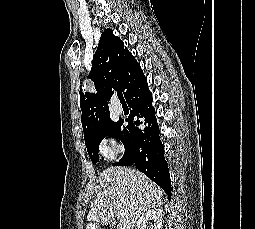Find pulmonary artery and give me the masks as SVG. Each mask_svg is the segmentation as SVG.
<instances>
[{"instance_id": "e3ab8cb5", "label": "pulmonary artery", "mask_w": 255, "mask_h": 229, "mask_svg": "<svg viewBox=\"0 0 255 229\" xmlns=\"http://www.w3.org/2000/svg\"><path fill=\"white\" fill-rule=\"evenodd\" d=\"M112 108H113L114 112L117 113V114H122L123 113V108L118 103H113Z\"/></svg>"}]
</instances>
